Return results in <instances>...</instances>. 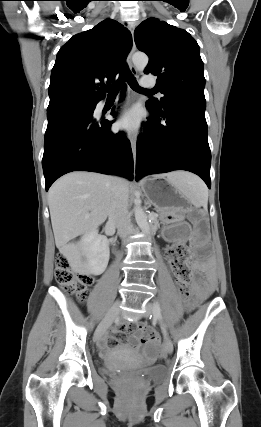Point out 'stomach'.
Instances as JSON below:
<instances>
[{
  "mask_svg": "<svg viewBox=\"0 0 261 427\" xmlns=\"http://www.w3.org/2000/svg\"><path fill=\"white\" fill-rule=\"evenodd\" d=\"M142 188L165 222L183 220L190 210V200L171 178H149L142 183Z\"/></svg>",
  "mask_w": 261,
  "mask_h": 427,
  "instance_id": "0dacf381",
  "label": "stomach"
}]
</instances>
